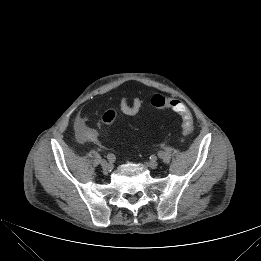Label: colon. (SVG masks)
Here are the masks:
<instances>
[{"mask_svg": "<svg viewBox=\"0 0 261 261\" xmlns=\"http://www.w3.org/2000/svg\"><path fill=\"white\" fill-rule=\"evenodd\" d=\"M151 104L157 109H170L178 113L182 118V133L188 137L193 131V118L188 107L179 99L164 97L160 94H155L151 98ZM105 124H111L116 119L114 110L106 111L102 117Z\"/></svg>", "mask_w": 261, "mask_h": 261, "instance_id": "obj_1", "label": "colon"}]
</instances>
